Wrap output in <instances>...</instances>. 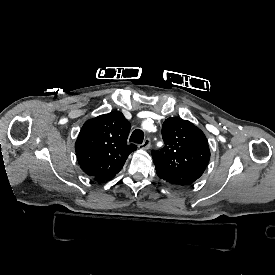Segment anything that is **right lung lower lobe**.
<instances>
[{"mask_svg":"<svg viewBox=\"0 0 275 275\" xmlns=\"http://www.w3.org/2000/svg\"><path fill=\"white\" fill-rule=\"evenodd\" d=\"M111 178H113V177H95V179H97L98 181H101V182L109 180Z\"/></svg>","mask_w":275,"mask_h":275,"instance_id":"1","label":"right lung lower lobe"}]
</instances>
